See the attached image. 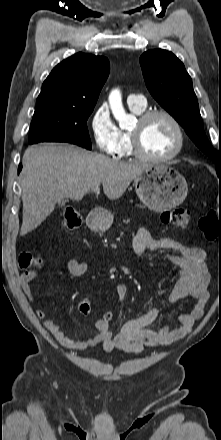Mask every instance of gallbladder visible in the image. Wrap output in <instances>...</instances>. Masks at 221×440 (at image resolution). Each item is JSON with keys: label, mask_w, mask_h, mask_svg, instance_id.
<instances>
[{"label": "gallbladder", "mask_w": 221, "mask_h": 440, "mask_svg": "<svg viewBox=\"0 0 221 440\" xmlns=\"http://www.w3.org/2000/svg\"><path fill=\"white\" fill-rule=\"evenodd\" d=\"M64 204H65V200L64 199L58 201V205L63 206Z\"/></svg>", "instance_id": "1"}]
</instances>
